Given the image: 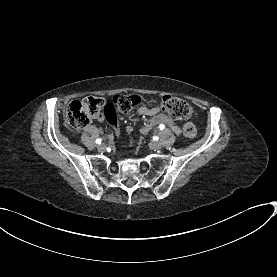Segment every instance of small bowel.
Listing matches in <instances>:
<instances>
[{"mask_svg": "<svg viewBox=\"0 0 277 277\" xmlns=\"http://www.w3.org/2000/svg\"><path fill=\"white\" fill-rule=\"evenodd\" d=\"M136 113L139 115L150 117L149 123H148L147 127L144 129V132H148L152 126H155L160 123L167 125L177 134H179L181 132V129L177 125V123L172 118L167 116L166 114L161 113L159 108H157V107H147V106L142 105L136 109ZM130 130H131V128L127 127V131H130ZM115 132H116V134H119V129L116 128Z\"/></svg>", "mask_w": 277, "mask_h": 277, "instance_id": "small-bowel-1", "label": "small bowel"}]
</instances>
